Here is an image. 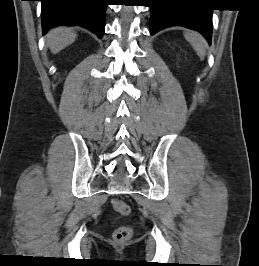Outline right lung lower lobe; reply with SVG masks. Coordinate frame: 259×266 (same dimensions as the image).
<instances>
[{
	"label": "right lung lower lobe",
	"mask_w": 259,
	"mask_h": 266,
	"mask_svg": "<svg viewBox=\"0 0 259 266\" xmlns=\"http://www.w3.org/2000/svg\"><path fill=\"white\" fill-rule=\"evenodd\" d=\"M43 34L57 25H80L102 38L107 0H40Z\"/></svg>",
	"instance_id": "obj_1"
}]
</instances>
